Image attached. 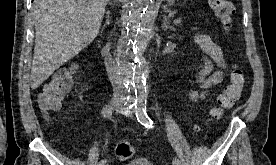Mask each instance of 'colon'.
<instances>
[{
	"label": "colon",
	"instance_id": "obj_1",
	"mask_svg": "<svg viewBox=\"0 0 276 165\" xmlns=\"http://www.w3.org/2000/svg\"><path fill=\"white\" fill-rule=\"evenodd\" d=\"M208 3L220 20L223 29L229 32L234 16L232 3L227 0H208ZM72 75L73 73L70 69H61L43 84L38 95V104L44 114L49 115L58 111L65 91L71 87ZM244 83L243 71L238 66H234L230 74L229 83L218 96L217 105L211 110V119H219L226 110L230 109L239 100ZM133 154L134 148L129 142L124 141L118 144L116 155L120 160H129Z\"/></svg>",
	"mask_w": 276,
	"mask_h": 165
}]
</instances>
